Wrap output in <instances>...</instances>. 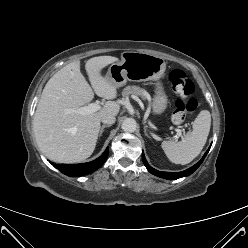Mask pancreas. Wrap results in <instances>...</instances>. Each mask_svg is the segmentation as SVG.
I'll use <instances>...</instances> for the list:
<instances>
[{"label":"pancreas","mask_w":248,"mask_h":248,"mask_svg":"<svg viewBox=\"0 0 248 248\" xmlns=\"http://www.w3.org/2000/svg\"><path fill=\"white\" fill-rule=\"evenodd\" d=\"M130 94L139 95L143 99L150 97L149 93L146 90L140 88L139 86H134V85L127 86L122 91V96L124 98L128 97Z\"/></svg>","instance_id":"pancreas-1"}]
</instances>
